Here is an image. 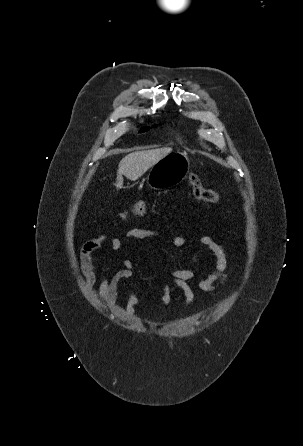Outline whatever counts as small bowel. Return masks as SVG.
Segmentation results:
<instances>
[{"mask_svg": "<svg viewBox=\"0 0 303 446\" xmlns=\"http://www.w3.org/2000/svg\"><path fill=\"white\" fill-rule=\"evenodd\" d=\"M161 232L157 229L133 228L125 233V239L133 241H144L158 237ZM108 237L101 235L99 237L88 239L83 243L79 253V261L82 271L86 278L87 288H92L96 283V272L93 259V253L99 250L103 242ZM186 239L183 236H176L172 239V247L175 250H181L186 245ZM201 248L210 250L215 256V264L209 274L200 282V288L204 291H212L217 286L222 285L227 280V254L222 245L216 242L211 236H202L198 240ZM126 243L121 238L111 239V248L114 251H121L125 248ZM121 269L114 274L107 275L101 282L99 287L100 299L109 307H112L117 301L118 287L123 280H131L133 277L134 263L129 259L120 261ZM194 276L192 268H176L171 274L165 275L162 285V307H167L171 302V293L173 289L182 292L185 298V306L189 307L193 300L194 294L187 281ZM139 302L135 291L131 290L124 312L129 316L135 315L136 306Z\"/></svg>", "mask_w": 303, "mask_h": 446, "instance_id": "small-bowel-1", "label": "small bowel"}]
</instances>
